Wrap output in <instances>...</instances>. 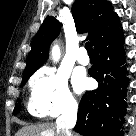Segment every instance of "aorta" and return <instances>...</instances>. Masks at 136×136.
Masks as SVG:
<instances>
[{"label":"aorta","mask_w":136,"mask_h":136,"mask_svg":"<svg viewBox=\"0 0 136 136\" xmlns=\"http://www.w3.org/2000/svg\"><path fill=\"white\" fill-rule=\"evenodd\" d=\"M51 56L54 62H57L60 58V48L58 45H54L51 50Z\"/></svg>","instance_id":"obj_1"}]
</instances>
